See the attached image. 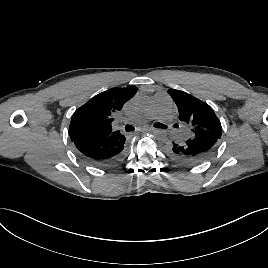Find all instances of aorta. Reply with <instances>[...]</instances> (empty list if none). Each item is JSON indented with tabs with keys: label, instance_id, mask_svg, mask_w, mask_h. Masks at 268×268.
Masks as SVG:
<instances>
[{
	"label": "aorta",
	"instance_id": "762f6f07",
	"mask_svg": "<svg viewBox=\"0 0 268 268\" xmlns=\"http://www.w3.org/2000/svg\"><path fill=\"white\" fill-rule=\"evenodd\" d=\"M148 103V97L144 95H140L137 98V105L140 107H144ZM167 135V132L164 128L159 127L154 132V140L156 142H163L165 140V137Z\"/></svg>",
	"mask_w": 268,
	"mask_h": 268
}]
</instances>
